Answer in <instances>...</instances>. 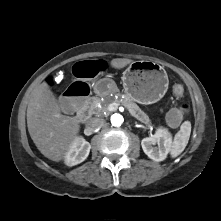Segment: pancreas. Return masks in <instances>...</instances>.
<instances>
[{
  "instance_id": "cf45deb5",
  "label": "pancreas",
  "mask_w": 221,
  "mask_h": 221,
  "mask_svg": "<svg viewBox=\"0 0 221 221\" xmlns=\"http://www.w3.org/2000/svg\"><path fill=\"white\" fill-rule=\"evenodd\" d=\"M99 99H94L89 103V113L95 114L105 111L110 103H118L123 105L137 120L147 126L151 125V121L146 113H144L139 106L127 95H119L117 99L111 98L102 102V106L98 107Z\"/></svg>"
}]
</instances>
